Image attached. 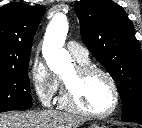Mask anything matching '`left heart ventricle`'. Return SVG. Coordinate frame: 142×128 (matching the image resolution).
Wrapping results in <instances>:
<instances>
[{"instance_id": "1", "label": "left heart ventricle", "mask_w": 142, "mask_h": 128, "mask_svg": "<svg viewBox=\"0 0 142 128\" xmlns=\"http://www.w3.org/2000/svg\"><path fill=\"white\" fill-rule=\"evenodd\" d=\"M63 79L73 89L78 103L95 113L109 111L114 104V93L110 83L100 74L79 79L76 69L67 72Z\"/></svg>"}]
</instances>
